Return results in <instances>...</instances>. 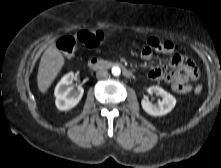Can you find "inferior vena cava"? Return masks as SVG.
Instances as JSON below:
<instances>
[{
    "label": "inferior vena cava",
    "mask_w": 221,
    "mask_h": 168,
    "mask_svg": "<svg viewBox=\"0 0 221 168\" xmlns=\"http://www.w3.org/2000/svg\"><path fill=\"white\" fill-rule=\"evenodd\" d=\"M107 76H108V71L105 70V69H100V70H98L97 73H96V77H97L98 79H104V78H106Z\"/></svg>",
    "instance_id": "inferior-vena-cava-1"
}]
</instances>
